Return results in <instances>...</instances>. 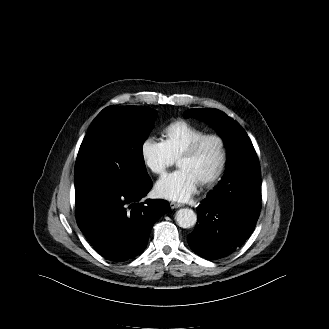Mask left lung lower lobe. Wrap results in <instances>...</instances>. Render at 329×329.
Instances as JSON below:
<instances>
[{
  "label": "left lung lower lobe",
  "instance_id": "obj_1",
  "mask_svg": "<svg viewBox=\"0 0 329 329\" xmlns=\"http://www.w3.org/2000/svg\"><path fill=\"white\" fill-rule=\"evenodd\" d=\"M220 199L205 198L197 207L198 224L188 235L191 249L207 259L233 253L249 238L259 217L261 174L259 163L236 175L222 187Z\"/></svg>",
  "mask_w": 329,
  "mask_h": 329
}]
</instances>
